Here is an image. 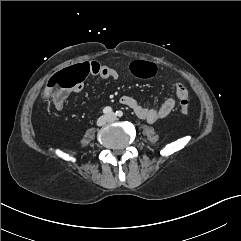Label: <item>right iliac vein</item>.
Instances as JSON below:
<instances>
[{"instance_id": "63e3f726", "label": "right iliac vein", "mask_w": 241, "mask_h": 241, "mask_svg": "<svg viewBox=\"0 0 241 241\" xmlns=\"http://www.w3.org/2000/svg\"><path fill=\"white\" fill-rule=\"evenodd\" d=\"M109 118L107 116H101L98 120H97V125L98 126H103L108 122Z\"/></svg>"}]
</instances>
